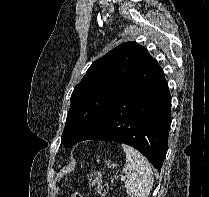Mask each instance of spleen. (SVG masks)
<instances>
[{"instance_id":"obj_1","label":"spleen","mask_w":209,"mask_h":197,"mask_svg":"<svg viewBox=\"0 0 209 197\" xmlns=\"http://www.w3.org/2000/svg\"><path fill=\"white\" fill-rule=\"evenodd\" d=\"M126 154L125 188L130 197H148L153 186V172L148 160L136 149L122 144Z\"/></svg>"}]
</instances>
